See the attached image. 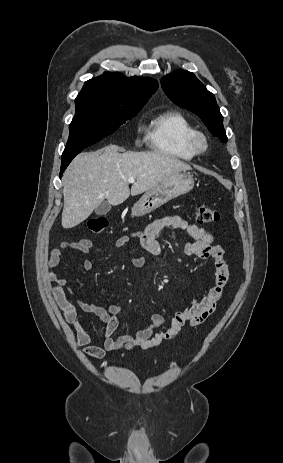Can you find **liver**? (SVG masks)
Instances as JSON below:
<instances>
[{"instance_id": "6515ba94", "label": "liver", "mask_w": 283, "mask_h": 463, "mask_svg": "<svg viewBox=\"0 0 283 463\" xmlns=\"http://www.w3.org/2000/svg\"><path fill=\"white\" fill-rule=\"evenodd\" d=\"M191 170L190 165L159 152L120 153L117 145L80 153L63 175V228L86 220L105 199L112 205L147 192L164 179ZM135 178L131 190L129 178Z\"/></svg>"}]
</instances>
